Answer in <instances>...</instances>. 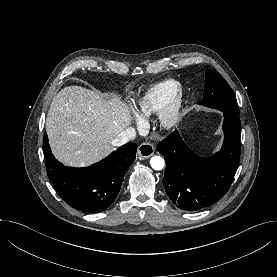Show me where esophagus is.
<instances>
[{
    "label": "esophagus",
    "instance_id": "34e87169",
    "mask_svg": "<svg viewBox=\"0 0 277 277\" xmlns=\"http://www.w3.org/2000/svg\"><path fill=\"white\" fill-rule=\"evenodd\" d=\"M155 150V147L152 143L150 142H145L142 143L139 147H138V151H137V157L140 160H144L149 158L150 156L153 155Z\"/></svg>",
    "mask_w": 277,
    "mask_h": 277
}]
</instances>
